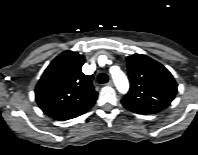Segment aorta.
<instances>
[{
	"mask_svg": "<svg viewBox=\"0 0 198 155\" xmlns=\"http://www.w3.org/2000/svg\"><path fill=\"white\" fill-rule=\"evenodd\" d=\"M111 74L117 89L121 93L127 92L129 88V83L126 75L121 70H117V71L111 70Z\"/></svg>",
	"mask_w": 198,
	"mask_h": 155,
	"instance_id": "aorta-1",
	"label": "aorta"
}]
</instances>
